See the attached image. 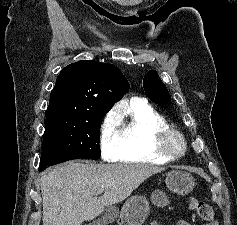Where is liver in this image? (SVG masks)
<instances>
[{
  "mask_svg": "<svg viewBox=\"0 0 237 225\" xmlns=\"http://www.w3.org/2000/svg\"><path fill=\"white\" fill-rule=\"evenodd\" d=\"M164 168L143 164H94L69 161L44 174L40 188L43 225H81L117 204ZM104 186V194L97 191Z\"/></svg>",
  "mask_w": 237,
  "mask_h": 225,
  "instance_id": "6515ba94",
  "label": "liver"
}]
</instances>
